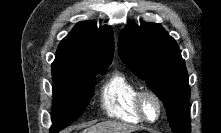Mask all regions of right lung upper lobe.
Instances as JSON below:
<instances>
[{"instance_id":"1","label":"right lung upper lobe","mask_w":221,"mask_h":133,"mask_svg":"<svg viewBox=\"0 0 221 133\" xmlns=\"http://www.w3.org/2000/svg\"><path fill=\"white\" fill-rule=\"evenodd\" d=\"M113 54L111 27L98 29L92 21L80 22L60 42L56 58L52 63V75L82 66L111 64Z\"/></svg>"}]
</instances>
